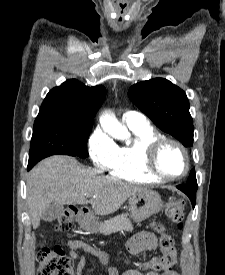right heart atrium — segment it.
I'll use <instances>...</instances> for the list:
<instances>
[{
	"instance_id": "obj_1",
	"label": "right heart atrium",
	"mask_w": 225,
	"mask_h": 275,
	"mask_svg": "<svg viewBox=\"0 0 225 275\" xmlns=\"http://www.w3.org/2000/svg\"><path fill=\"white\" fill-rule=\"evenodd\" d=\"M117 151L115 142L101 129L97 128L88 140L91 161L99 170H106L112 163Z\"/></svg>"
}]
</instances>
